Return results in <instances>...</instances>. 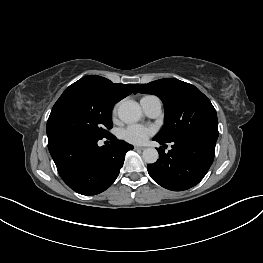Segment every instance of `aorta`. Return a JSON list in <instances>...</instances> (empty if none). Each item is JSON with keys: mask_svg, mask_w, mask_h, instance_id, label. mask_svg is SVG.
I'll return each instance as SVG.
<instances>
[{"mask_svg": "<svg viewBox=\"0 0 263 263\" xmlns=\"http://www.w3.org/2000/svg\"><path fill=\"white\" fill-rule=\"evenodd\" d=\"M118 116L125 123L137 122L142 116L141 107L133 100L122 101L118 107ZM142 157L146 163L153 164L158 160L159 154L155 148H147Z\"/></svg>", "mask_w": 263, "mask_h": 263, "instance_id": "1", "label": "aorta"}]
</instances>
